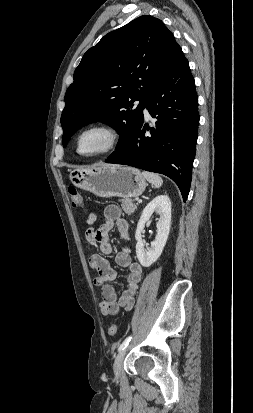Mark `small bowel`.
<instances>
[{
    "label": "small bowel",
    "instance_id": "c3829d8e",
    "mask_svg": "<svg viewBox=\"0 0 253 413\" xmlns=\"http://www.w3.org/2000/svg\"><path fill=\"white\" fill-rule=\"evenodd\" d=\"M97 216L91 213L87 219L89 225H93ZM104 222L95 228L90 226L85 231V240L89 246L98 245L102 254L107 255L112 251L109 242V232L116 226L121 238L129 240L128 223L121 217V211L116 205H108L103 213ZM116 264L128 268L126 277V289L120 297L111 285L116 278V271L111 267L109 261L99 253H92L89 257V266L96 273L93 282L102 290V301L100 309L103 315H116L121 309L130 310L133 307L138 284L142 279V267L133 262L131 250L128 246L122 248L115 257Z\"/></svg>",
    "mask_w": 253,
    "mask_h": 413
}]
</instances>
